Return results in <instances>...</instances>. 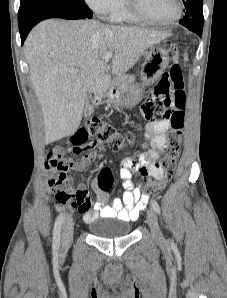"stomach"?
I'll use <instances>...</instances> for the list:
<instances>
[{
    "label": "stomach",
    "mask_w": 227,
    "mask_h": 298,
    "mask_svg": "<svg viewBox=\"0 0 227 298\" xmlns=\"http://www.w3.org/2000/svg\"><path fill=\"white\" fill-rule=\"evenodd\" d=\"M145 54L146 57L140 71L143 84H132L128 88L126 96H123L124 92L119 91L109 93L107 95L108 104L114 107H134L144 96V85L153 84L162 75L169 64L168 51L162 46L152 45Z\"/></svg>",
    "instance_id": "1"
}]
</instances>
